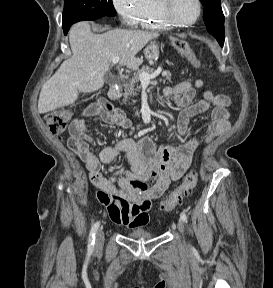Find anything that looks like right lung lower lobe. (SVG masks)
<instances>
[{
  "mask_svg": "<svg viewBox=\"0 0 273 288\" xmlns=\"http://www.w3.org/2000/svg\"><path fill=\"white\" fill-rule=\"evenodd\" d=\"M63 30H64V34L66 35L68 30H69V28H63Z\"/></svg>",
  "mask_w": 273,
  "mask_h": 288,
  "instance_id": "obj_1",
  "label": "right lung lower lobe"
}]
</instances>
